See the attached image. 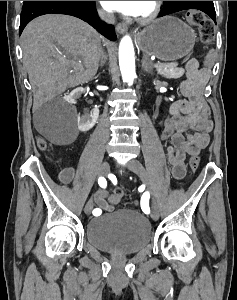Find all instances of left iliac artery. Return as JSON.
I'll return each mask as SVG.
<instances>
[{
	"label": "left iliac artery",
	"instance_id": "left-iliac-artery-1",
	"mask_svg": "<svg viewBox=\"0 0 237 300\" xmlns=\"http://www.w3.org/2000/svg\"><path fill=\"white\" fill-rule=\"evenodd\" d=\"M141 208L146 214L150 213L149 208V193H144L141 198Z\"/></svg>",
	"mask_w": 237,
	"mask_h": 300
}]
</instances>
